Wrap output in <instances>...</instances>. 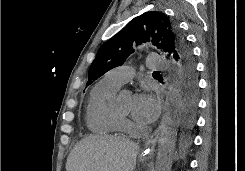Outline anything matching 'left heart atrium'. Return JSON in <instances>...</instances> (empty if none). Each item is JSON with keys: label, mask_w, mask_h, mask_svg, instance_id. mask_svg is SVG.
I'll use <instances>...</instances> for the list:
<instances>
[{"label": "left heart atrium", "mask_w": 245, "mask_h": 171, "mask_svg": "<svg viewBox=\"0 0 245 171\" xmlns=\"http://www.w3.org/2000/svg\"><path fill=\"white\" fill-rule=\"evenodd\" d=\"M159 112L160 101L150 90L144 89L134 96L131 114L138 122L151 123Z\"/></svg>", "instance_id": "left-heart-atrium-1"}]
</instances>
